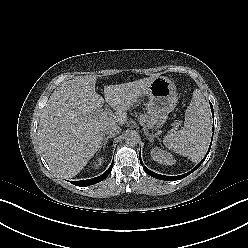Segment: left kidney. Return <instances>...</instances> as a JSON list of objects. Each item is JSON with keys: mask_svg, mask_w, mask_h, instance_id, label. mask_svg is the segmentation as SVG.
<instances>
[{"mask_svg": "<svg viewBox=\"0 0 248 248\" xmlns=\"http://www.w3.org/2000/svg\"><path fill=\"white\" fill-rule=\"evenodd\" d=\"M151 157L154 161L165 165H173L176 162L170 153L158 147L151 150Z\"/></svg>", "mask_w": 248, "mask_h": 248, "instance_id": "obj_1", "label": "left kidney"}]
</instances>
